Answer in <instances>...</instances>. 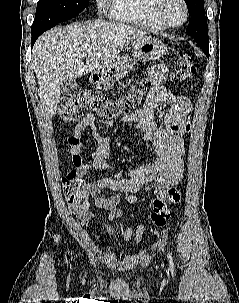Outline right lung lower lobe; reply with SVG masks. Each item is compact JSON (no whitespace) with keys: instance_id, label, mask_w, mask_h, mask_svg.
<instances>
[{"instance_id":"1","label":"right lung lower lobe","mask_w":239,"mask_h":303,"mask_svg":"<svg viewBox=\"0 0 239 303\" xmlns=\"http://www.w3.org/2000/svg\"><path fill=\"white\" fill-rule=\"evenodd\" d=\"M46 30L41 29V30H32V41H31V47H33L36 39Z\"/></svg>"}]
</instances>
